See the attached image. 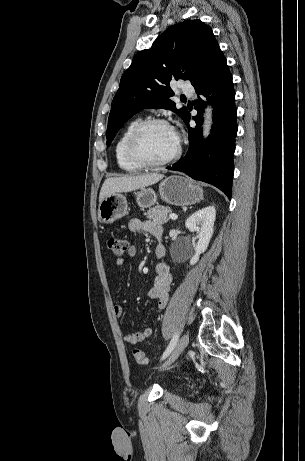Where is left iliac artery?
Segmentation results:
<instances>
[{
    "label": "left iliac artery",
    "instance_id": "44dca946",
    "mask_svg": "<svg viewBox=\"0 0 305 461\" xmlns=\"http://www.w3.org/2000/svg\"><path fill=\"white\" fill-rule=\"evenodd\" d=\"M178 338H179V335L176 333L171 339L161 359H165L171 353V351L174 349L175 345L177 344Z\"/></svg>",
    "mask_w": 305,
    "mask_h": 461
}]
</instances>
